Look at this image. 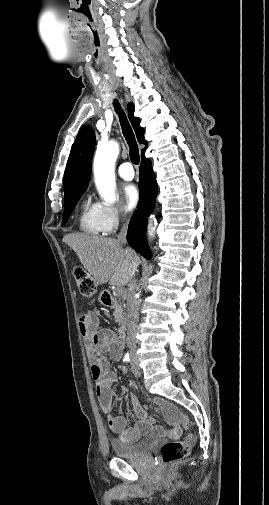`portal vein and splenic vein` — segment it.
<instances>
[{"label": "portal vein and splenic vein", "instance_id": "portal-vein-and-splenic-vein-1", "mask_svg": "<svg viewBox=\"0 0 269 505\" xmlns=\"http://www.w3.org/2000/svg\"><path fill=\"white\" fill-rule=\"evenodd\" d=\"M117 293H118V294H122V293H123V288H122V287L118 288V289H117Z\"/></svg>", "mask_w": 269, "mask_h": 505}]
</instances>
